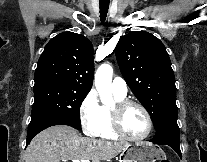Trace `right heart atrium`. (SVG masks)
I'll use <instances>...</instances> for the list:
<instances>
[{"mask_svg":"<svg viewBox=\"0 0 207 162\" xmlns=\"http://www.w3.org/2000/svg\"><path fill=\"white\" fill-rule=\"evenodd\" d=\"M79 120L83 132L97 136L102 122L101 105L94 90L89 91L79 106Z\"/></svg>","mask_w":207,"mask_h":162,"instance_id":"obj_1","label":"right heart atrium"}]
</instances>
